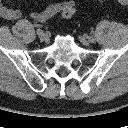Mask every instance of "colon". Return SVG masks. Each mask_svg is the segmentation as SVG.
<instances>
[{
    "mask_svg": "<svg viewBox=\"0 0 128 128\" xmlns=\"http://www.w3.org/2000/svg\"><path fill=\"white\" fill-rule=\"evenodd\" d=\"M102 3H105V0H99ZM122 4L128 5V0H119ZM75 14V6L67 5L61 11V17L63 19H69Z\"/></svg>",
    "mask_w": 128,
    "mask_h": 128,
    "instance_id": "5ec220e1",
    "label": "colon"
}]
</instances>
